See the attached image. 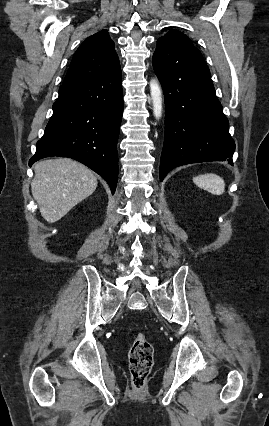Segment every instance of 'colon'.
<instances>
[{
    "label": "colon",
    "mask_w": 269,
    "mask_h": 426,
    "mask_svg": "<svg viewBox=\"0 0 269 426\" xmlns=\"http://www.w3.org/2000/svg\"><path fill=\"white\" fill-rule=\"evenodd\" d=\"M153 367V347L144 333H138L129 350L132 387L141 391Z\"/></svg>",
    "instance_id": "5ec220e1"
}]
</instances>
